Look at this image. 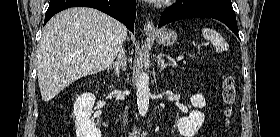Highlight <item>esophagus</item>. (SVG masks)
Segmentation results:
<instances>
[{
    "instance_id": "1",
    "label": "esophagus",
    "mask_w": 280,
    "mask_h": 137,
    "mask_svg": "<svg viewBox=\"0 0 280 137\" xmlns=\"http://www.w3.org/2000/svg\"><path fill=\"white\" fill-rule=\"evenodd\" d=\"M144 31L146 34H154V33H156V28L151 21H147L144 24Z\"/></svg>"
}]
</instances>
